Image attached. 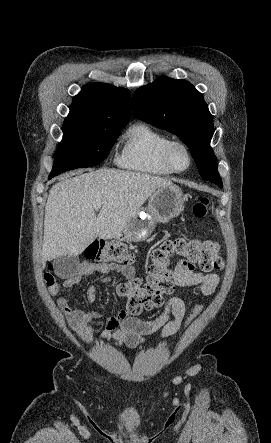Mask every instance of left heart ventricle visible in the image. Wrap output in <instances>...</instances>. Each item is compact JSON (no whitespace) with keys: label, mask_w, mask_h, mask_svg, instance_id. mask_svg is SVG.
<instances>
[{"label":"left heart ventricle","mask_w":271,"mask_h":443,"mask_svg":"<svg viewBox=\"0 0 271 443\" xmlns=\"http://www.w3.org/2000/svg\"><path fill=\"white\" fill-rule=\"evenodd\" d=\"M172 160L178 169H186L190 164V158L186 149L181 145H176L172 149Z\"/></svg>","instance_id":"left-heart-ventricle-1"}]
</instances>
